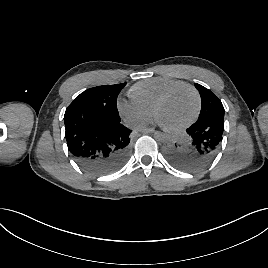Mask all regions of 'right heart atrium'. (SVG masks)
I'll use <instances>...</instances> for the list:
<instances>
[{"label":"right heart atrium","instance_id":"obj_1","mask_svg":"<svg viewBox=\"0 0 268 268\" xmlns=\"http://www.w3.org/2000/svg\"><path fill=\"white\" fill-rule=\"evenodd\" d=\"M118 110L127 121L138 126L146 124L152 117L150 110L126 99L118 101Z\"/></svg>","mask_w":268,"mask_h":268}]
</instances>
